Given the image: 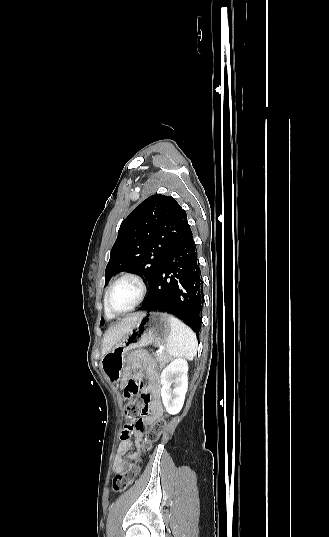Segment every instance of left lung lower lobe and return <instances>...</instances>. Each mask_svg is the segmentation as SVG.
I'll use <instances>...</instances> for the list:
<instances>
[{
    "mask_svg": "<svg viewBox=\"0 0 329 537\" xmlns=\"http://www.w3.org/2000/svg\"><path fill=\"white\" fill-rule=\"evenodd\" d=\"M202 294L201 270L190 230L157 269L139 310L164 311L176 315L199 336Z\"/></svg>",
    "mask_w": 329,
    "mask_h": 537,
    "instance_id": "1",
    "label": "left lung lower lobe"
}]
</instances>
